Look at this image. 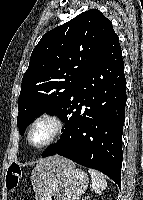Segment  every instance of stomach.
I'll return each instance as SVG.
<instances>
[{
	"mask_svg": "<svg viewBox=\"0 0 143 200\" xmlns=\"http://www.w3.org/2000/svg\"><path fill=\"white\" fill-rule=\"evenodd\" d=\"M88 174L74 164L55 172L40 200H78L86 191Z\"/></svg>",
	"mask_w": 143,
	"mask_h": 200,
	"instance_id": "obj_1",
	"label": "stomach"
}]
</instances>
